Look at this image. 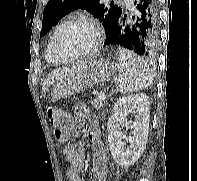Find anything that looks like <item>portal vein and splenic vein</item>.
Wrapping results in <instances>:
<instances>
[{"mask_svg":"<svg viewBox=\"0 0 197 181\" xmlns=\"http://www.w3.org/2000/svg\"><path fill=\"white\" fill-rule=\"evenodd\" d=\"M98 99H100V100H105L106 99V96H105L104 92L99 93Z\"/></svg>","mask_w":197,"mask_h":181,"instance_id":"18ae733b","label":"portal vein and splenic vein"}]
</instances>
